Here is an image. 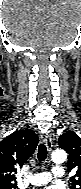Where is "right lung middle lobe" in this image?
<instances>
[{"mask_svg": "<svg viewBox=\"0 0 81 189\" xmlns=\"http://www.w3.org/2000/svg\"><path fill=\"white\" fill-rule=\"evenodd\" d=\"M0 189H18L17 185H5L1 186Z\"/></svg>", "mask_w": 81, "mask_h": 189, "instance_id": "1", "label": "right lung middle lobe"}]
</instances>
